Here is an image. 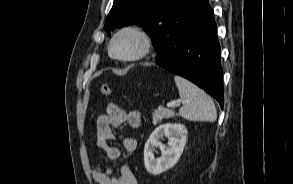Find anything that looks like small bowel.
I'll use <instances>...</instances> for the list:
<instances>
[{
	"label": "small bowel",
	"instance_id": "small-bowel-1",
	"mask_svg": "<svg viewBox=\"0 0 293 184\" xmlns=\"http://www.w3.org/2000/svg\"><path fill=\"white\" fill-rule=\"evenodd\" d=\"M125 124L130 128H138L141 124L140 111L127 112L117 104L109 103L106 112L97 118L96 144L109 160H116L121 156V151L112 145L116 140L113 129ZM122 145L127 156L137 149V141L132 137H125ZM92 177L98 184H138L131 169L126 165H122L116 174L110 168L95 166L92 169Z\"/></svg>",
	"mask_w": 293,
	"mask_h": 184
}]
</instances>
